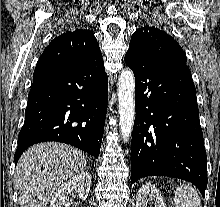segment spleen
<instances>
[{
    "label": "spleen",
    "instance_id": "obj_1",
    "mask_svg": "<svg viewBox=\"0 0 220 207\" xmlns=\"http://www.w3.org/2000/svg\"><path fill=\"white\" fill-rule=\"evenodd\" d=\"M174 207H201V200L194 188L182 184L175 191Z\"/></svg>",
    "mask_w": 220,
    "mask_h": 207
}]
</instances>
